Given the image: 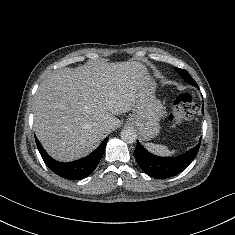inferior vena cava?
<instances>
[{
	"mask_svg": "<svg viewBox=\"0 0 235 235\" xmlns=\"http://www.w3.org/2000/svg\"><path fill=\"white\" fill-rule=\"evenodd\" d=\"M106 127H107V124H103V125H102V128H103V129H106Z\"/></svg>",
	"mask_w": 235,
	"mask_h": 235,
	"instance_id": "obj_1",
	"label": "inferior vena cava"
}]
</instances>
